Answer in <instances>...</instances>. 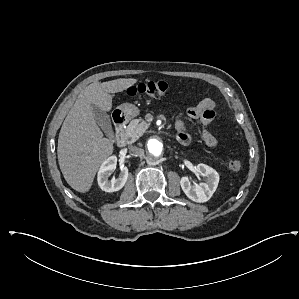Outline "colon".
<instances>
[{
	"label": "colon",
	"instance_id": "5ec220e1",
	"mask_svg": "<svg viewBox=\"0 0 299 299\" xmlns=\"http://www.w3.org/2000/svg\"><path fill=\"white\" fill-rule=\"evenodd\" d=\"M170 86L164 81H144L135 84L128 88L127 94L129 96H149L159 97L164 95ZM228 166L231 170H239L242 166V162L239 159H230Z\"/></svg>",
	"mask_w": 299,
	"mask_h": 299
}]
</instances>
